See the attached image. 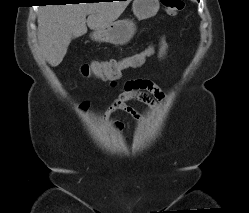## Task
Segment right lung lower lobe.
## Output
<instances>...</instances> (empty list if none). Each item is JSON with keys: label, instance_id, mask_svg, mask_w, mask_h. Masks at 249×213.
<instances>
[{"label": "right lung lower lobe", "instance_id": "98d812e1", "mask_svg": "<svg viewBox=\"0 0 249 213\" xmlns=\"http://www.w3.org/2000/svg\"><path fill=\"white\" fill-rule=\"evenodd\" d=\"M65 0H47V2H55V3H61V4H63V3H65L64 2ZM45 1H43V2H41V3H44Z\"/></svg>", "mask_w": 249, "mask_h": 213}]
</instances>
